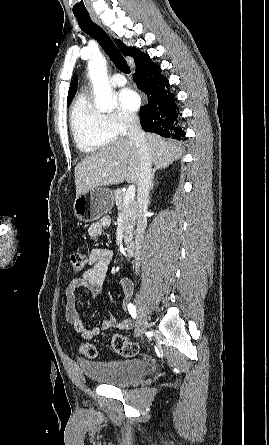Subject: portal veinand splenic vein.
Returning a JSON list of instances; mask_svg holds the SVG:
<instances>
[{"label":"portal vein and splenic vein","mask_w":269,"mask_h":445,"mask_svg":"<svg viewBox=\"0 0 269 445\" xmlns=\"http://www.w3.org/2000/svg\"><path fill=\"white\" fill-rule=\"evenodd\" d=\"M135 197V186L130 185L126 191L124 202L125 204H129Z\"/></svg>","instance_id":"obj_1"}]
</instances>
